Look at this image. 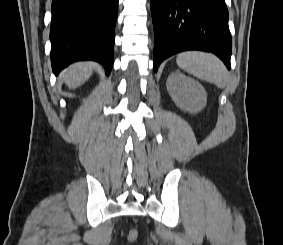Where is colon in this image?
Returning <instances> with one entry per match:
<instances>
[{
	"instance_id": "obj_1",
	"label": "colon",
	"mask_w": 283,
	"mask_h": 245,
	"mask_svg": "<svg viewBox=\"0 0 283 245\" xmlns=\"http://www.w3.org/2000/svg\"><path fill=\"white\" fill-rule=\"evenodd\" d=\"M138 230L137 229H131L129 232H128V235H127V240L129 242H134L137 240L138 238Z\"/></svg>"
}]
</instances>
